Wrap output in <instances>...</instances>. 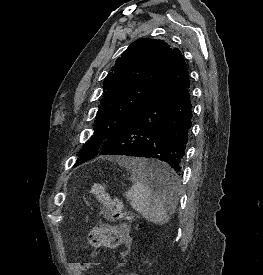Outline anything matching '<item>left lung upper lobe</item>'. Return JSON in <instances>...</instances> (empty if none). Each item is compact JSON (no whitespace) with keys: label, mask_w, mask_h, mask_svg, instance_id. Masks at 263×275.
<instances>
[{"label":"left lung upper lobe","mask_w":263,"mask_h":275,"mask_svg":"<svg viewBox=\"0 0 263 275\" xmlns=\"http://www.w3.org/2000/svg\"><path fill=\"white\" fill-rule=\"evenodd\" d=\"M177 50L151 38H140L129 45L104 80L96 128L74 166L94 158L104 142L125 127L160 84Z\"/></svg>","instance_id":"5c2ea615"}]
</instances>
